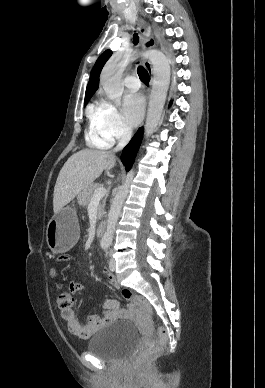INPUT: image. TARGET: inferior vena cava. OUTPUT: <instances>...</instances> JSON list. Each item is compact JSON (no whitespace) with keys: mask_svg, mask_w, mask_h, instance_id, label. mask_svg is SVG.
I'll return each mask as SVG.
<instances>
[{"mask_svg":"<svg viewBox=\"0 0 265 388\" xmlns=\"http://www.w3.org/2000/svg\"><path fill=\"white\" fill-rule=\"evenodd\" d=\"M131 136H132V128H130V126H127V128H125V130H124V134H123L118 146H116V148H114V150H112V152H119V150H122V148H125L126 144H128V142H130Z\"/></svg>","mask_w":265,"mask_h":388,"instance_id":"1","label":"inferior vena cava"}]
</instances>
